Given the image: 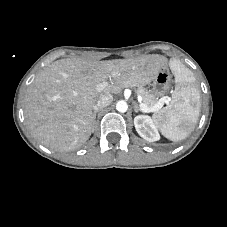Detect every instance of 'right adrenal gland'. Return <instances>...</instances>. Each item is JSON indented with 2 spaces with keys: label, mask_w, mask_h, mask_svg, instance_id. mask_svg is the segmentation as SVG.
Wrapping results in <instances>:
<instances>
[{
  "label": "right adrenal gland",
  "mask_w": 227,
  "mask_h": 227,
  "mask_svg": "<svg viewBox=\"0 0 227 227\" xmlns=\"http://www.w3.org/2000/svg\"><path fill=\"white\" fill-rule=\"evenodd\" d=\"M99 111L97 110V111H94V113H93V117H94V123L96 122V114L98 113Z\"/></svg>",
  "instance_id": "right-adrenal-gland-1"
}]
</instances>
